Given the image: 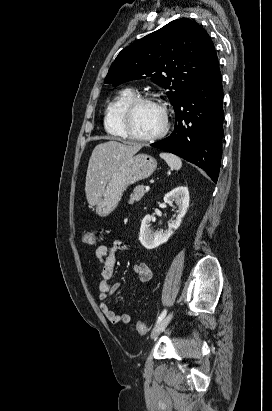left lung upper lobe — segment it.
Returning a JSON list of instances; mask_svg holds the SVG:
<instances>
[{
	"label": "left lung upper lobe",
	"instance_id": "obj_1",
	"mask_svg": "<svg viewBox=\"0 0 272 411\" xmlns=\"http://www.w3.org/2000/svg\"><path fill=\"white\" fill-rule=\"evenodd\" d=\"M216 60L208 33L197 22L181 18L123 49L104 83L118 86L130 80L151 78L167 90L175 107Z\"/></svg>",
	"mask_w": 272,
	"mask_h": 411
}]
</instances>
